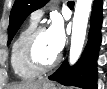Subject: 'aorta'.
I'll return each mask as SVG.
<instances>
[{
	"mask_svg": "<svg viewBox=\"0 0 107 89\" xmlns=\"http://www.w3.org/2000/svg\"><path fill=\"white\" fill-rule=\"evenodd\" d=\"M92 0H77L73 17L69 62L75 64L79 59L86 36L87 23Z\"/></svg>",
	"mask_w": 107,
	"mask_h": 89,
	"instance_id": "obj_1",
	"label": "aorta"
}]
</instances>
